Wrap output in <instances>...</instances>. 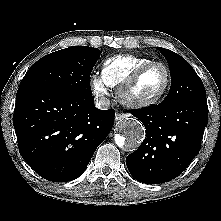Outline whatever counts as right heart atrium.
<instances>
[{
  "instance_id": "d8ad5b80",
  "label": "right heart atrium",
  "mask_w": 221,
  "mask_h": 221,
  "mask_svg": "<svg viewBox=\"0 0 221 221\" xmlns=\"http://www.w3.org/2000/svg\"><path fill=\"white\" fill-rule=\"evenodd\" d=\"M91 87L95 97L100 100H102L108 94L106 84L103 78L100 76L93 75L91 77Z\"/></svg>"
}]
</instances>
